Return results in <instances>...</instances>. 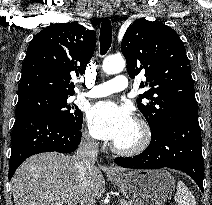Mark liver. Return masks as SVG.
I'll return each mask as SVG.
<instances>
[{
	"instance_id": "obj_1",
	"label": "liver",
	"mask_w": 212,
	"mask_h": 205,
	"mask_svg": "<svg viewBox=\"0 0 212 205\" xmlns=\"http://www.w3.org/2000/svg\"><path fill=\"white\" fill-rule=\"evenodd\" d=\"M14 205H87L105 192V179L94 167L81 187L73 157L46 152L26 159L12 180Z\"/></svg>"
}]
</instances>
